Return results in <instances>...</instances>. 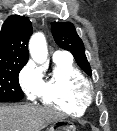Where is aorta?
<instances>
[{"instance_id":"762f6f07","label":"aorta","mask_w":117,"mask_h":131,"mask_svg":"<svg viewBox=\"0 0 117 131\" xmlns=\"http://www.w3.org/2000/svg\"><path fill=\"white\" fill-rule=\"evenodd\" d=\"M29 53L32 59L38 64H43L47 60L48 49L46 38L41 32L33 34L30 38Z\"/></svg>"}]
</instances>
